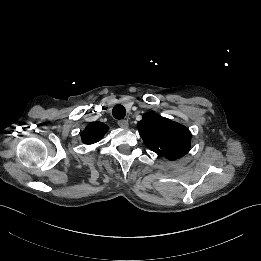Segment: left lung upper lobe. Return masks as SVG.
<instances>
[{
  "label": "left lung upper lobe",
  "mask_w": 261,
  "mask_h": 261,
  "mask_svg": "<svg viewBox=\"0 0 261 261\" xmlns=\"http://www.w3.org/2000/svg\"><path fill=\"white\" fill-rule=\"evenodd\" d=\"M145 145L170 160L184 156L190 148L191 133L183 125L155 113H145L138 122Z\"/></svg>",
  "instance_id": "obj_1"
}]
</instances>
